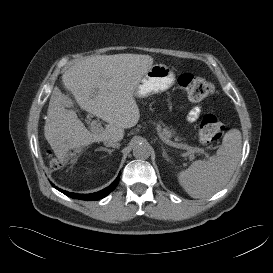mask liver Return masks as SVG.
<instances>
[{
  "label": "liver",
  "mask_w": 273,
  "mask_h": 273,
  "mask_svg": "<svg viewBox=\"0 0 273 273\" xmlns=\"http://www.w3.org/2000/svg\"><path fill=\"white\" fill-rule=\"evenodd\" d=\"M153 64L149 55L115 54L86 57L62 75L64 87L78 105L107 122L104 129L90 132L73 102L55 87L49 101L44 136L56 157L63 160L71 150L84 148L106 138L123 139L124 129L135 126L140 111L134 91Z\"/></svg>",
  "instance_id": "6515ba94"
}]
</instances>
